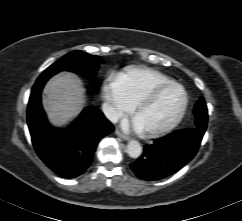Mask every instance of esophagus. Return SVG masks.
Returning <instances> with one entry per match:
<instances>
[{"label":"esophagus","instance_id":"1","mask_svg":"<svg viewBox=\"0 0 242 221\" xmlns=\"http://www.w3.org/2000/svg\"><path fill=\"white\" fill-rule=\"evenodd\" d=\"M115 133H116V135H117L118 137H120L121 139H123V140H125V141L130 140V137H129V136L123 134V133L120 132L119 130H116Z\"/></svg>","mask_w":242,"mask_h":221}]
</instances>
